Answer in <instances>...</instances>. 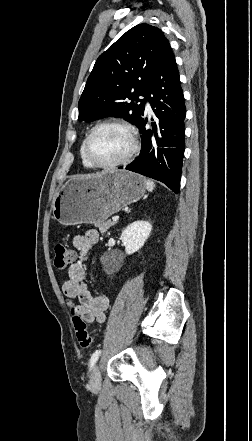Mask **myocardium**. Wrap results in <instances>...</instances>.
<instances>
[{"label":"myocardium","mask_w":252,"mask_h":441,"mask_svg":"<svg viewBox=\"0 0 252 441\" xmlns=\"http://www.w3.org/2000/svg\"><path fill=\"white\" fill-rule=\"evenodd\" d=\"M105 126H116V127H120L122 129H124L130 139V149L127 152V154L121 158L118 161L112 162V163H98L96 162L94 159H92V157L89 154V144L90 141L93 137V135L95 134V132ZM139 148V143H138V138H137V132L135 130V128L128 122L123 121V120H118V119H110V120H104L101 121L99 123H97L89 132V134L86 136L85 140H84V146H83V152H84V156L86 158V160L88 161V163L95 168H100V169H113V168H118L121 166L126 165L127 163H129L132 158L136 155L137 151Z\"/></svg>","instance_id":"f54148a6"}]
</instances>
